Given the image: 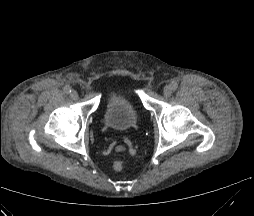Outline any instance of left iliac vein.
<instances>
[{
	"label": "left iliac vein",
	"instance_id": "left-iliac-vein-1",
	"mask_svg": "<svg viewBox=\"0 0 254 216\" xmlns=\"http://www.w3.org/2000/svg\"><path fill=\"white\" fill-rule=\"evenodd\" d=\"M163 94L167 97V96H170L171 95V88L170 86H164L163 88Z\"/></svg>",
	"mask_w": 254,
	"mask_h": 216
}]
</instances>
